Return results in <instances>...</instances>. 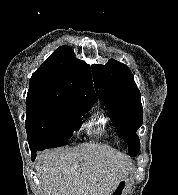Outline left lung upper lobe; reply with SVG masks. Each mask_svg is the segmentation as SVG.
<instances>
[{
    "instance_id": "5c2ea615",
    "label": "left lung upper lobe",
    "mask_w": 178,
    "mask_h": 195,
    "mask_svg": "<svg viewBox=\"0 0 178 195\" xmlns=\"http://www.w3.org/2000/svg\"><path fill=\"white\" fill-rule=\"evenodd\" d=\"M93 80L100 102L108 109L117 134L128 143L131 156L140 150L136 131L142 125L141 94L131 70L114 59L106 65H93Z\"/></svg>"
}]
</instances>
